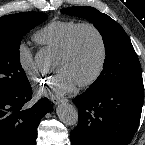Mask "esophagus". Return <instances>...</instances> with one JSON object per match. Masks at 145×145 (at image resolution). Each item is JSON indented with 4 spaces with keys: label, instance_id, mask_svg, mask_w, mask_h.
Wrapping results in <instances>:
<instances>
[{
    "label": "esophagus",
    "instance_id": "1",
    "mask_svg": "<svg viewBox=\"0 0 145 145\" xmlns=\"http://www.w3.org/2000/svg\"><path fill=\"white\" fill-rule=\"evenodd\" d=\"M67 101L66 98H59V97H54L52 98V102L57 105V104H60L61 102H65Z\"/></svg>",
    "mask_w": 145,
    "mask_h": 145
}]
</instances>
